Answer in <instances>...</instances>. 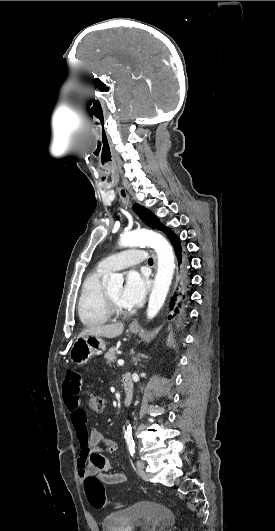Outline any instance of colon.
<instances>
[{"label": "colon", "instance_id": "obj_1", "mask_svg": "<svg viewBox=\"0 0 275 531\" xmlns=\"http://www.w3.org/2000/svg\"><path fill=\"white\" fill-rule=\"evenodd\" d=\"M81 400L82 402H89L90 408L96 413H101L104 410V399L97 395L95 391H82ZM84 481V487L86 489L85 495L87 496L88 501L92 502V508L98 511L110 510V505H103L102 503L105 491L103 486H98V484L95 483L96 477L88 474L85 476Z\"/></svg>", "mask_w": 275, "mask_h": 531}]
</instances>
